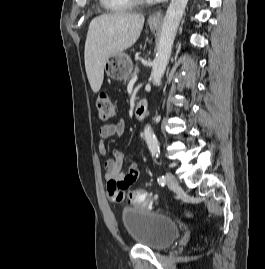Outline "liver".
<instances>
[{
	"label": "liver",
	"mask_w": 265,
	"mask_h": 269,
	"mask_svg": "<svg viewBox=\"0 0 265 269\" xmlns=\"http://www.w3.org/2000/svg\"><path fill=\"white\" fill-rule=\"evenodd\" d=\"M145 18L141 14L115 12L95 17L85 42V69L94 93L103 83L107 59L132 47L138 40Z\"/></svg>",
	"instance_id": "6515ba94"
}]
</instances>
